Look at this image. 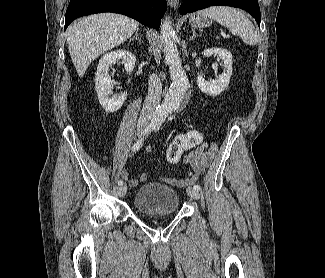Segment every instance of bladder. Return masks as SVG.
Segmentation results:
<instances>
[{
    "label": "bladder",
    "mask_w": 325,
    "mask_h": 278,
    "mask_svg": "<svg viewBox=\"0 0 325 278\" xmlns=\"http://www.w3.org/2000/svg\"><path fill=\"white\" fill-rule=\"evenodd\" d=\"M133 204L143 214L175 213L179 209V194L167 184L145 183L137 189Z\"/></svg>",
    "instance_id": "31cf9c89"
}]
</instances>
